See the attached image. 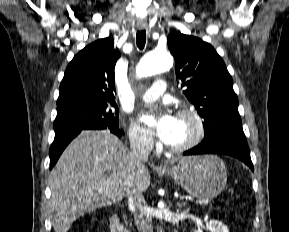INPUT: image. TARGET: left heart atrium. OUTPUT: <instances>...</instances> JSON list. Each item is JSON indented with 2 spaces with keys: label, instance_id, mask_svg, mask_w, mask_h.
Listing matches in <instances>:
<instances>
[{
  "label": "left heart atrium",
  "instance_id": "left-heart-atrium-1",
  "mask_svg": "<svg viewBox=\"0 0 289 232\" xmlns=\"http://www.w3.org/2000/svg\"><path fill=\"white\" fill-rule=\"evenodd\" d=\"M140 122L162 142L171 144L175 138L177 117L165 109L147 111L140 115Z\"/></svg>",
  "mask_w": 289,
  "mask_h": 232
}]
</instances>
